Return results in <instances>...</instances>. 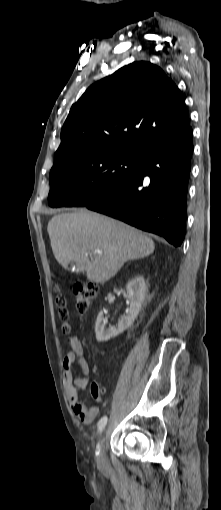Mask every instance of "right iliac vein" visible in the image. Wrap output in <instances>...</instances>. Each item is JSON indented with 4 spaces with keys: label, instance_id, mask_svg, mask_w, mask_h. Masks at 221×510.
<instances>
[{
    "label": "right iliac vein",
    "instance_id": "obj_1",
    "mask_svg": "<svg viewBox=\"0 0 221 510\" xmlns=\"http://www.w3.org/2000/svg\"><path fill=\"white\" fill-rule=\"evenodd\" d=\"M104 435L101 436L100 442H99V451L97 456V462L100 466H103L105 464L104 454H103V445H104Z\"/></svg>",
    "mask_w": 221,
    "mask_h": 510
}]
</instances>
